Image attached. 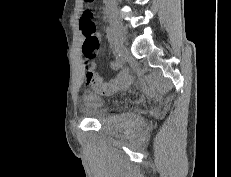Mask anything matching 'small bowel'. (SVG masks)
<instances>
[{
  "mask_svg": "<svg viewBox=\"0 0 231 177\" xmlns=\"http://www.w3.org/2000/svg\"><path fill=\"white\" fill-rule=\"evenodd\" d=\"M86 83L103 94L109 95L120 90H125L132 83V76L127 70H122L115 75L109 82H104L94 71L92 61L84 59Z\"/></svg>",
  "mask_w": 231,
  "mask_h": 177,
  "instance_id": "1",
  "label": "small bowel"
}]
</instances>
